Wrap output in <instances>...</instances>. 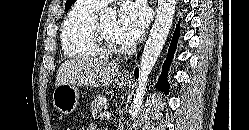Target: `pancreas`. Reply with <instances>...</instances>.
<instances>
[{"instance_id": "pancreas-1", "label": "pancreas", "mask_w": 249, "mask_h": 130, "mask_svg": "<svg viewBox=\"0 0 249 130\" xmlns=\"http://www.w3.org/2000/svg\"><path fill=\"white\" fill-rule=\"evenodd\" d=\"M104 101H105V97L101 95L97 96L92 101L91 110H92L93 118H99V116H101L102 114V110L103 109L105 110L108 108L107 103H105Z\"/></svg>"}]
</instances>
